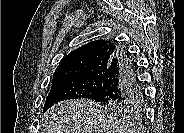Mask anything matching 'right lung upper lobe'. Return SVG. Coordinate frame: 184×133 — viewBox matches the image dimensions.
<instances>
[{
	"label": "right lung upper lobe",
	"mask_w": 184,
	"mask_h": 133,
	"mask_svg": "<svg viewBox=\"0 0 184 133\" xmlns=\"http://www.w3.org/2000/svg\"><path fill=\"white\" fill-rule=\"evenodd\" d=\"M117 46L109 40L89 42L66 55L59 63L52 81L104 73Z\"/></svg>",
	"instance_id": "right-lung-upper-lobe-1"
}]
</instances>
